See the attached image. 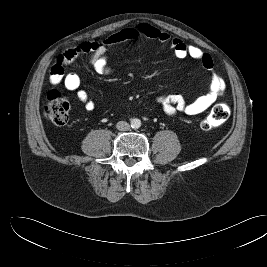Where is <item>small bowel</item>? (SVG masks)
<instances>
[{
	"label": "small bowel",
	"instance_id": "1",
	"mask_svg": "<svg viewBox=\"0 0 267 267\" xmlns=\"http://www.w3.org/2000/svg\"><path fill=\"white\" fill-rule=\"evenodd\" d=\"M141 38L153 39L166 44L172 49L177 58L190 57L199 61L205 68L211 71L208 91L194 101L187 102L178 93H170L157 98V102L162 105L163 112L168 117H175L178 113L186 115L200 114L224 95L226 90L225 81L219 74L214 72L213 60L208 53L195 45L187 44L181 39L172 37L170 34L147 23L123 28L101 40L85 41L78 45L68 47L58 56L55 64L51 68L50 82L52 84L63 83L67 90L75 92L85 109L91 111L94 109L95 104L89 98L87 92L80 88L79 76L75 72H66L65 68L72 64L78 56L86 55L90 66L97 74H114L116 69L108 62L107 49L125 41ZM131 69H134V67L132 66Z\"/></svg>",
	"mask_w": 267,
	"mask_h": 267
}]
</instances>
